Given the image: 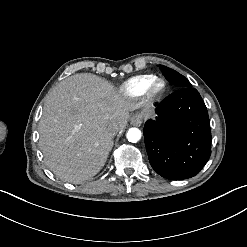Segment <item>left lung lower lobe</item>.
<instances>
[{
	"instance_id": "obj_1",
	"label": "left lung lower lobe",
	"mask_w": 247,
	"mask_h": 247,
	"mask_svg": "<svg viewBox=\"0 0 247 247\" xmlns=\"http://www.w3.org/2000/svg\"><path fill=\"white\" fill-rule=\"evenodd\" d=\"M155 112L156 119L144 126L152 168L167 179L195 176L211 155L210 121L199 92L180 88L161 101Z\"/></svg>"
}]
</instances>
